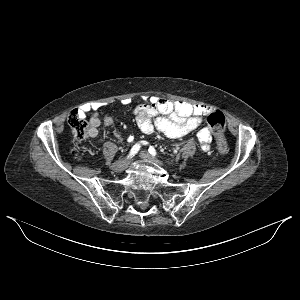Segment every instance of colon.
<instances>
[{
	"mask_svg": "<svg viewBox=\"0 0 300 300\" xmlns=\"http://www.w3.org/2000/svg\"><path fill=\"white\" fill-rule=\"evenodd\" d=\"M68 124L79 139L85 138L87 134V125L78 110H74L69 114ZM207 124L209 130L216 137L218 153L222 156L226 155L228 152V144L223 136L225 128L224 114L219 110L212 112L207 118Z\"/></svg>",
	"mask_w": 300,
	"mask_h": 300,
	"instance_id": "5ec220e1",
	"label": "colon"
}]
</instances>
